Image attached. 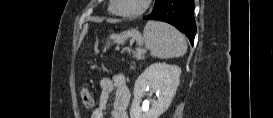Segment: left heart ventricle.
<instances>
[{
  "label": "left heart ventricle",
  "mask_w": 273,
  "mask_h": 118,
  "mask_svg": "<svg viewBox=\"0 0 273 118\" xmlns=\"http://www.w3.org/2000/svg\"><path fill=\"white\" fill-rule=\"evenodd\" d=\"M144 0H118L117 9L122 12H134L143 6Z\"/></svg>",
  "instance_id": "1"
}]
</instances>
